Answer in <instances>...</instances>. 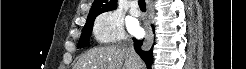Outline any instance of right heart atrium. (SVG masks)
Wrapping results in <instances>:
<instances>
[{
    "label": "right heart atrium",
    "instance_id": "right-heart-atrium-1",
    "mask_svg": "<svg viewBox=\"0 0 246 69\" xmlns=\"http://www.w3.org/2000/svg\"><path fill=\"white\" fill-rule=\"evenodd\" d=\"M92 35L101 44H111L124 39L122 16L116 11L103 12L94 21Z\"/></svg>",
    "mask_w": 246,
    "mask_h": 69
}]
</instances>
